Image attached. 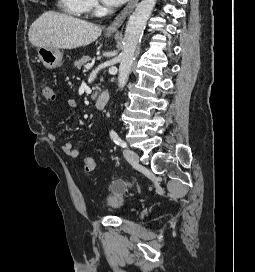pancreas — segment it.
Instances as JSON below:
<instances>
[{"label": "pancreas", "instance_id": "1", "mask_svg": "<svg viewBox=\"0 0 255 272\" xmlns=\"http://www.w3.org/2000/svg\"><path fill=\"white\" fill-rule=\"evenodd\" d=\"M91 60L90 56H83L82 58L78 59L77 61H75L74 63V67H76L77 69H81L83 65H85L86 63H88ZM93 90H96L93 95L92 98L95 99L98 95L97 90H100V88L98 86H96L95 88H93Z\"/></svg>", "mask_w": 255, "mask_h": 272}]
</instances>
